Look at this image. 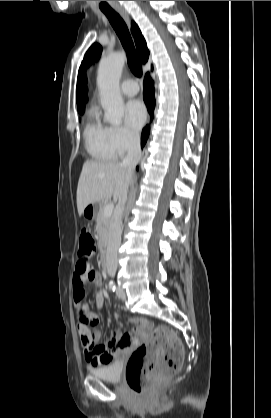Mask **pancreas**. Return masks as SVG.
<instances>
[{
    "instance_id": "pancreas-1",
    "label": "pancreas",
    "mask_w": 271,
    "mask_h": 418,
    "mask_svg": "<svg viewBox=\"0 0 271 418\" xmlns=\"http://www.w3.org/2000/svg\"><path fill=\"white\" fill-rule=\"evenodd\" d=\"M104 205H101L96 217V229L99 247L102 248L106 245L111 225V217L104 215Z\"/></svg>"
}]
</instances>
